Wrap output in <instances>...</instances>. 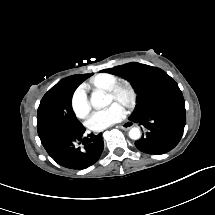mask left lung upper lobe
Returning <instances> with one entry per match:
<instances>
[{
	"label": "left lung upper lobe",
	"mask_w": 215,
	"mask_h": 215,
	"mask_svg": "<svg viewBox=\"0 0 215 215\" xmlns=\"http://www.w3.org/2000/svg\"><path fill=\"white\" fill-rule=\"evenodd\" d=\"M103 71L126 76L138 91V104L129 119L143 125L146 132L135 146L148 154L173 149L186 123L184 98L177 83L163 70L139 63Z\"/></svg>",
	"instance_id": "obj_1"
}]
</instances>
